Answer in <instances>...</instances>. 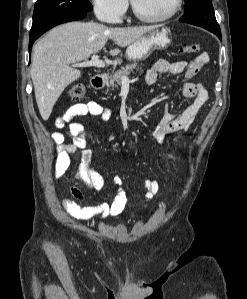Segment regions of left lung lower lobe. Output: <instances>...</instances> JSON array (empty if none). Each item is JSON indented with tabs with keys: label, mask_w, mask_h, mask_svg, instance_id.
<instances>
[{
	"label": "left lung lower lobe",
	"mask_w": 247,
	"mask_h": 299,
	"mask_svg": "<svg viewBox=\"0 0 247 299\" xmlns=\"http://www.w3.org/2000/svg\"><path fill=\"white\" fill-rule=\"evenodd\" d=\"M184 23H188V24H192V25H196V26L205 28V29H207L208 31H210V32H212V33H214V34H216V35L219 37V39H221V31H220V29H214V28H212V27H209V26H207V25H205V24H203V23H199V22H184Z\"/></svg>",
	"instance_id": "1"
}]
</instances>
